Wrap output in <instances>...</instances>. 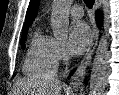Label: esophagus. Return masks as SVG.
<instances>
[{
	"instance_id": "esophagus-1",
	"label": "esophagus",
	"mask_w": 119,
	"mask_h": 95,
	"mask_svg": "<svg viewBox=\"0 0 119 95\" xmlns=\"http://www.w3.org/2000/svg\"><path fill=\"white\" fill-rule=\"evenodd\" d=\"M100 6H101V1L100 0H95L94 11L99 9ZM98 37H99L98 27L94 23L93 30H92V37H91L89 47H88L82 61L80 62V65L78 66L76 72L71 77V79L69 81V87H71L75 90H78L81 87V85L83 83V80L85 78L86 72H87V67L89 66V64L91 62L93 53H94L95 48L97 46Z\"/></svg>"
}]
</instances>
